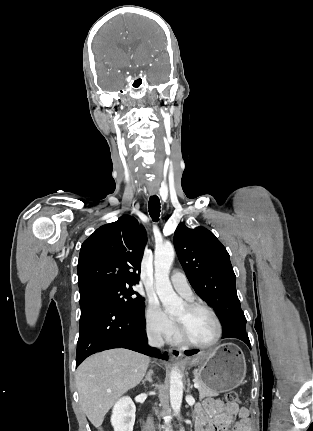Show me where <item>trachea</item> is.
<instances>
[{
  "instance_id": "3493384b",
  "label": "trachea",
  "mask_w": 313,
  "mask_h": 431,
  "mask_svg": "<svg viewBox=\"0 0 313 431\" xmlns=\"http://www.w3.org/2000/svg\"><path fill=\"white\" fill-rule=\"evenodd\" d=\"M149 213L153 221H158L160 216V200L158 196L153 195L149 199Z\"/></svg>"
}]
</instances>
